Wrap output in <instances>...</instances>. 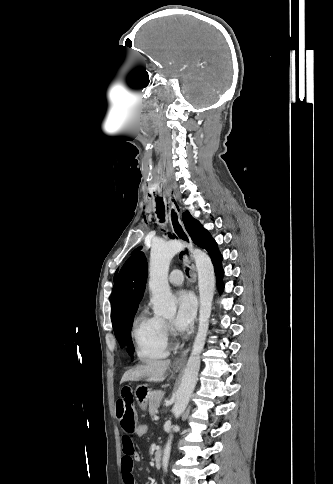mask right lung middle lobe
<instances>
[{
    "mask_svg": "<svg viewBox=\"0 0 333 484\" xmlns=\"http://www.w3.org/2000/svg\"><path fill=\"white\" fill-rule=\"evenodd\" d=\"M135 313L129 315L118 328L114 329L115 336L121 346V348L127 347L128 353L133 356V343L131 341V326Z\"/></svg>",
    "mask_w": 333,
    "mask_h": 484,
    "instance_id": "right-lung-middle-lobe-1",
    "label": "right lung middle lobe"
}]
</instances>
